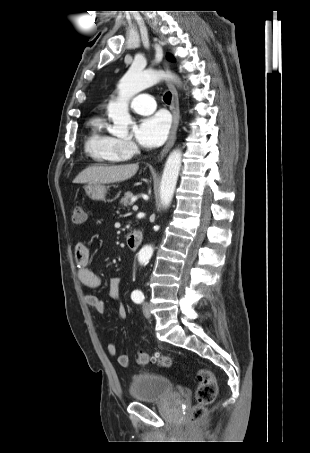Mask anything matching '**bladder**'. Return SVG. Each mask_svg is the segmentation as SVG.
Returning <instances> with one entry per match:
<instances>
[{"mask_svg": "<svg viewBox=\"0 0 310 453\" xmlns=\"http://www.w3.org/2000/svg\"><path fill=\"white\" fill-rule=\"evenodd\" d=\"M175 394L172 381L157 373H139L132 378L129 384V395L135 402L163 401Z\"/></svg>", "mask_w": 310, "mask_h": 453, "instance_id": "31cf9c89", "label": "bladder"}]
</instances>
